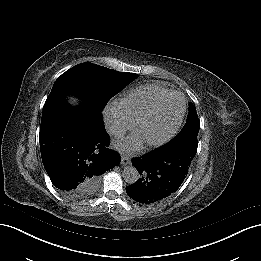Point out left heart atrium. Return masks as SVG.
<instances>
[{
	"label": "left heart atrium",
	"mask_w": 261,
	"mask_h": 261,
	"mask_svg": "<svg viewBox=\"0 0 261 261\" xmlns=\"http://www.w3.org/2000/svg\"><path fill=\"white\" fill-rule=\"evenodd\" d=\"M116 146L119 149H124L125 152H129L132 150H135L137 148V143L132 137H127L126 140H124L122 143H117Z\"/></svg>",
	"instance_id": "left-heart-atrium-1"
}]
</instances>
